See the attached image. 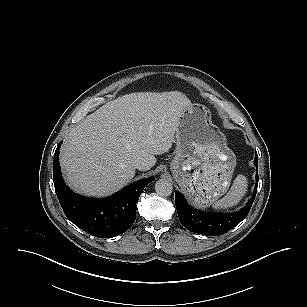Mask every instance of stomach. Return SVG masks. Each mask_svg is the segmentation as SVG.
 Returning a JSON list of instances; mask_svg holds the SVG:
<instances>
[{
  "label": "stomach",
  "mask_w": 307,
  "mask_h": 307,
  "mask_svg": "<svg viewBox=\"0 0 307 307\" xmlns=\"http://www.w3.org/2000/svg\"><path fill=\"white\" fill-rule=\"evenodd\" d=\"M236 156L225 135L212 124L201 104H191L179 116L173 177L195 204L203 206L224 195L232 179Z\"/></svg>",
  "instance_id": "obj_1"
}]
</instances>
